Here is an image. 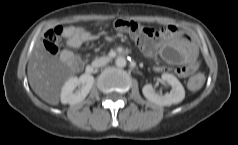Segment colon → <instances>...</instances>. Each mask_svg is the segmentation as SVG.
<instances>
[{
    "instance_id": "colon-1",
    "label": "colon",
    "mask_w": 238,
    "mask_h": 145,
    "mask_svg": "<svg viewBox=\"0 0 238 145\" xmlns=\"http://www.w3.org/2000/svg\"><path fill=\"white\" fill-rule=\"evenodd\" d=\"M115 30L124 32L132 36L137 44L149 55L158 52L160 41L164 35L161 29L144 26L138 22L118 19L113 23ZM62 28L55 27L47 31L44 38V46L50 55H57L61 45ZM204 76L195 74L189 80V87L197 90L204 84Z\"/></svg>"
}]
</instances>
